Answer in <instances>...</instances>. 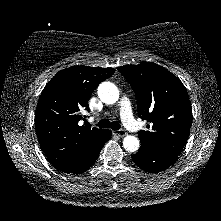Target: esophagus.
Wrapping results in <instances>:
<instances>
[{"mask_svg":"<svg viewBox=\"0 0 221 221\" xmlns=\"http://www.w3.org/2000/svg\"><path fill=\"white\" fill-rule=\"evenodd\" d=\"M113 134H114V135H117V136H119V137H124V136L127 135L126 131L123 130V129H121V130H115V131H113Z\"/></svg>","mask_w":221,"mask_h":221,"instance_id":"obj_1","label":"esophagus"}]
</instances>
